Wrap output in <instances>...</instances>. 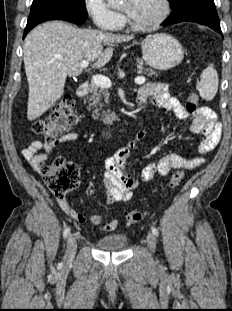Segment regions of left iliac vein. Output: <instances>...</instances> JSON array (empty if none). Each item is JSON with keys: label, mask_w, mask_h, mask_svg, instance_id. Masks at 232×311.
Listing matches in <instances>:
<instances>
[{"label": "left iliac vein", "mask_w": 232, "mask_h": 311, "mask_svg": "<svg viewBox=\"0 0 232 311\" xmlns=\"http://www.w3.org/2000/svg\"><path fill=\"white\" fill-rule=\"evenodd\" d=\"M157 240L154 234H148L147 236V246L149 250L154 253L156 250Z\"/></svg>", "instance_id": "1"}]
</instances>
